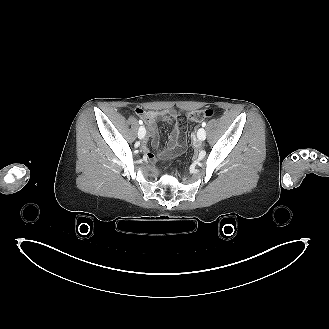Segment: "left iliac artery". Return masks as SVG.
Returning <instances> with one entry per match:
<instances>
[{
    "label": "left iliac artery",
    "instance_id": "left-iliac-artery-1",
    "mask_svg": "<svg viewBox=\"0 0 329 329\" xmlns=\"http://www.w3.org/2000/svg\"><path fill=\"white\" fill-rule=\"evenodd\" d=\"M205 126H206V122H203V123H202V127H205Z\"/></svg>",
    "mask_w": 329,
    "mask_h": 329
}]
</instances>
